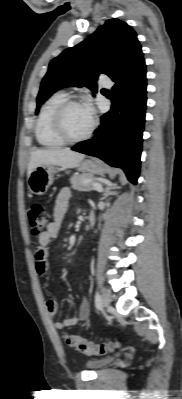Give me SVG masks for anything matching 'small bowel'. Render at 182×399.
I'll return each instance as SVG.
<instances>
[{"label":"small bowel","mask_w":182,"mask_h":399,"mask_svg":"<svg viewBox=\"0 0 182 399\" xmlns=\"http://www.w3.org/2000/svg\"><path fill=\"white\" fill-rule=\"evenodd\" d=\"M72 197L70 188L62 189L54 202L52 221L47 229L38 236V246L35 250V270L38 276L44 277L50 269L49 250L52 242L56 239L64 221L69 201ZM48 314L53 319L56 329H65L86 320L89 315V304L86 300L82 302L78 315L66 318L62 321L56 320L58 314V303L55 299H49L46 303Z\"/></svg>","instance_id":"small-bowel-1"}]
</instances>
